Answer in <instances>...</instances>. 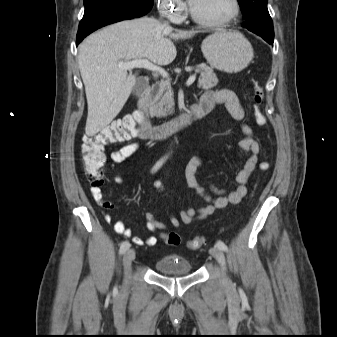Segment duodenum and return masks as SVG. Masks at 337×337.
I'll use <instances>...</instances> for the list:
<instances>
[{"label":"duodenum","mask_w":337,"mask_h":337,"mask_svg":"<svg viewBox=\"0 0 337 337\" xmlns=\"http://www.w3.org/2000/svg\"><path fill=\"white\" fill-rule=\"evenodd\" d=\"M150 106V89L147 85L139 94L137 99V109L133 114L137 135L145 140L162 139L177 130L192 125L211 110L209 105H205L199 101L198 103L189 106L177 117L162 124L152 125L149 122L147 115Z\"/></svg>","instance_id":"duodenum-1"}]
</instances>
